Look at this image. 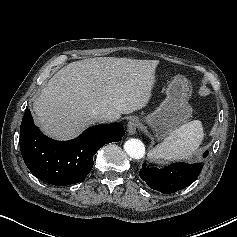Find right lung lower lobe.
I'll use <instances>...</instances> for the list:
<instances>
[{
  "instance_id": "obj_1",
  "label": "right lung lower lobe",
  "mask_w": 237,
  "mask_h": 237,
  "mask_svg": "<svg viewBox=\"0 0 237 237\" xmlns=\"http://www.w3.org/2000/svg\"><path fill=\"white\" fill-rule=\"evenodd\" d=\"M124 129L116 124L97 125L78 138L61 142L43 135L29 109L20 127V149L28 169L40 180L57 186L82 181L93 167V156L105 144L118 142Z\"/></svg>"
}]
</instances>
